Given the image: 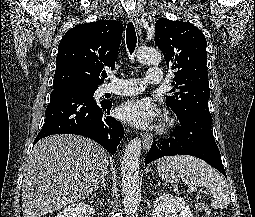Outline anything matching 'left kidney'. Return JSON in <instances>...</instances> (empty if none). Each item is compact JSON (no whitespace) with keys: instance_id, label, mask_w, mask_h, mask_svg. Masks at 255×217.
<instances>
[{"instance_id":"5707ae66","label":"left kidney","mask_w":255,"mask_h":217,"mask_svg":"<svg viewBox=\"0 0 255 217\" xmlns=\"http://www.w3.org/2000/svg\"><path fill=\"white\" fill-rule=\"evenodd\" d=\"M153 217H194L183 198L163 193L154 202Z\"/></svg>"}]
</instances>
